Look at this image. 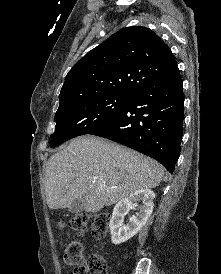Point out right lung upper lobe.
<instances>
[{"mask_svg": "<svg viewBox=\"0 0 221 274\" xmlns=\"http://www.w3.org/2000/svg\"><path fill=\"white\" fill-rule=\"evenodd\" d=\"M175 65L170 48L149 28H123L72 67L60 91V103L110 94L133 95Z\"/></svg>", "mask_w": 221, "mask_h": 274, "instance_id": "obj_1", "label": "right lung upper lobe"}]
</instances>
